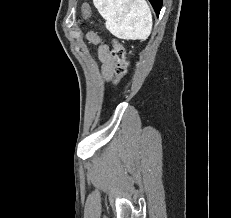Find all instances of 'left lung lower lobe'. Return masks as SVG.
<instances>
[{
	"label": "left lung lower lobe",
	"mask_w": 231,
	"mask_h": 218,
	"mask_svg": "<svg viewBox=\"0 0 231 218\" xmlns=\"http://www.w3.org/2000/svg\"><path fill=\"white\" fill-rule=\"evenodd\" d=\"M152 4L157 16L160 13L161 7H162V0H149Z\"/></svg>",
	"instance_id": "obj_1"
}]
</instances>
